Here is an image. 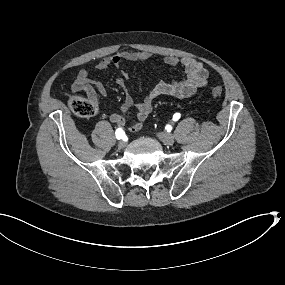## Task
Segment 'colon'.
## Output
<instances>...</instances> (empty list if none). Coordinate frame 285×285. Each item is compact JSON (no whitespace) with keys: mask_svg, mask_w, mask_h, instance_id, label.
Returning a JSON list of instances; mask_svg holds the SVG:
<instances>
[{"mask_svg":"<svg viewBox=\"0 0 285 285\" xmlns=\"http://www.w3.org/2000/svg\"><path fill=\"white\" fill-rule=\"evenodd\" d=\"M211 93L214 98H219L223 94V89L220 86H215ZM69 107L75 115L82 118L94 117L99 111L97 104L79 95H74L69 99Z\"/></svg>","mask_w":285,"mask_h":285,"instance_id":"obj_1","label":"colon"}]
</instances>
